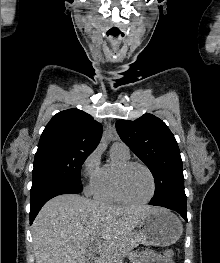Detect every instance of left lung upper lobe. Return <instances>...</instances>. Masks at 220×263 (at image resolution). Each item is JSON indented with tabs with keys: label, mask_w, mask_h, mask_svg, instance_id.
<instances>
[{
	"label": "left lung upper lobe",
	"mask_w": 220,
	"mask_h": 263,
	"mask_svg": "<svg viewBox=\"0 0 220 263\" xmlns=\"http://www.w3.org/2000/svg\"><path fill=\"white\" fill-rule=\"evenodd\" d=\"M116 129L121 140L153 174L155 193L150 202L185 208L182 160L167 125L152 114H144L134 121H117Z\"/></svg>",
	"instance_id": "left-lung-upper-lobe-1"
}]
</instances>
